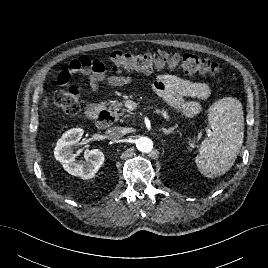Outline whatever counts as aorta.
<instances>
[{"instance_id":"aorta-1","label":"aorta","mask_w":268,"mask_h":268,"mask_svg":"<svg viewBox=\"0 0 268 268\" xmlns=\"http://www.w3.org/2000/svg\"><path fill=\"white\" fill-rule=\"evenodd\" d=\"M136 147L140 152L148 153L153 149V142L148 137L140 136L136 140Z\"/></svg>"}]
</instances>
